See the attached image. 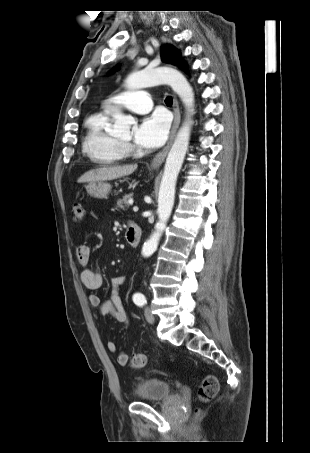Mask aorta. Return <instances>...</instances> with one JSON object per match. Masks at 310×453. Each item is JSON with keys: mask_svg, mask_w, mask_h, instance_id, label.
<instances>
[{"mask_svg": "<svg viewBox=\"0 0 310 453\" xmlns=\"http://www.w3.org/2000/svg\"><path fill=\"white\" fill-rule=\"evenodd\" d=\"M160 83L170 85L173 91L177 93L186 108L187 117L186 121L179 129L166 159L164 173L159 188L157 209L159 220L156 224L154 233L143 245L142 255L144 257H149L156 251L162 232L165 230L166 223L171 215L175 199L177 177L188 150L190 140V116L194 111L193 89L184 75L174 68H146L131 73L125 81L128 89H140ZM113 117L115 119L113 133L116 135L128 134L134 119L131 116H126L120 112L115 113Z\"/></svg>", "mask_w": 310, "mask_h": 453, "instance_id": "762f6f07", "label": "aorta"}]
</instances>
